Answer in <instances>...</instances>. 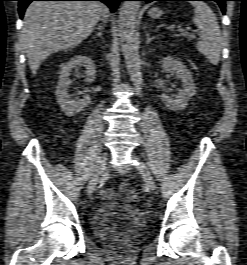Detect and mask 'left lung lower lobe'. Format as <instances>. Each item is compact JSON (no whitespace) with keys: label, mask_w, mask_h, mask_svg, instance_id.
Here are the masks:
<instances>
[{"label":"left lung lower lobe","mask_w":247,"mask_h":265,"mask_svg":"<svg viewBox=\"0 0 247 265\" xmlns=\"http://www.w3.org/2000/svg\"><path fill=\"white\" fill-rule=\"evenodd\" d=\"M137 1H146L147 3H150L152 1H178V0H137ZM184 1H192V0H184ZM202 1H215L218 3V5L220 6L223 14H225V6H226V1H229V0H202Z\"/></svg>","instance_id":"0a47b994"}]
</instances>
